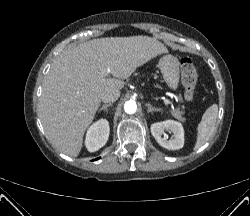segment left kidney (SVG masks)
Listing matches in <instances>:
<instances>
[{
  "mask_svg": "<svg viewBox=\"0 0 250 216\" xmlns=\"http://www.w3.org/2000/svg\"><path fill=\"white\" fill-rule=\"evenodd\" d=\"M172 132V139L168 140L164 131ZM151 133L156 141L168 150H178L184 146V129L181 123L166 120L151 125Z\"/></svg>",
  "mask_w": 250,
  "mask_h": 216,
  "instance_id": "1",
  "label": "left kidney"
}]
</instances>
